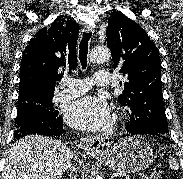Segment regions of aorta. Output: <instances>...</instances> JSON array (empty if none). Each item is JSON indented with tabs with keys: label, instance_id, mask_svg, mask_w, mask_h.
<instances>
[{
	"label": "aorta",
	"instance_id": "762f6f07",
	"mask_svg": "<svg viewBox=\"0 0 183 179\" xmlns=\"http://www.w3.org/2000/svg\"><path fill=\"white\" fill-rule=\"evenodd\" d=\"M111 57V51L107 47H96L91 51L90 61L92 63H100L108 61ZM95 179V178H94ZM96 179H102L97 177Z\"/></svg>",
	"mask_w": 183,
	"mask_h": 179
}]
</instances>
